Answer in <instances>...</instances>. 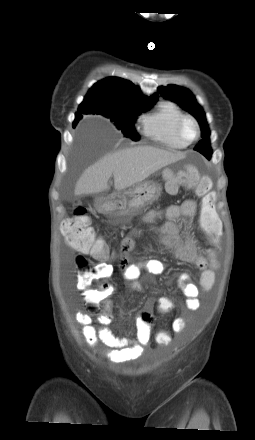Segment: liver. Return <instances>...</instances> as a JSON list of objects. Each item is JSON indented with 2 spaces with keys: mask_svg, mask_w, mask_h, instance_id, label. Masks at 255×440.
Listing matches in <instances>:
<instances>
[{
  "mask_svg": "<svg viewBox=\"0 0 255 440\" xmlns=\"http://www.w3.org/2000/svg\"><path fill=\"white\" fill-rule=\"evenodd\" d=\"M184 158L181 152H172L151 146H139L108 153L88 167L76 183L74 194H98L109 189L113 175L114 187L124 190L140 183L159 169Z\"/></svg>",
  "mask_w": 255,
  "mask_h": 440,
  "instance_id": "liver-1",
  "label": "liver"
}]
</instances>
